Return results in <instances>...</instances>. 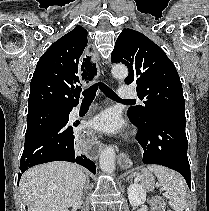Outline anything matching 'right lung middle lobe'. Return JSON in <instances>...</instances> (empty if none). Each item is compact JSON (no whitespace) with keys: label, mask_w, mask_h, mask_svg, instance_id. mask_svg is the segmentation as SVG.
I'll list each match as a JSON object with an SVG mask.
<instances>
[{"label":"right lung middle lobe","mask_w":209,"mask_h":211,"mask_svg":"<svg viewBox=\"0 0 209 211\" xmlns=\"http://www.w3.org/2000/svg\"><path fill=\"white\" fill-rule=\"evenodd\" d=\"M69 108H45L27 115V130L25 145L32 142L52 125L63 120L68 115Z\"/></svg>","instance_id":"right-lung-middle-lobe-1"}]
</instances>
